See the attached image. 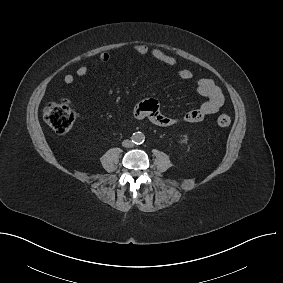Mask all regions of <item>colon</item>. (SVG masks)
<instances>
[{
  "label": "colon",
  "instance_id": "1",
  "mask_svg": "<svg viewBox=\"0 0 283 283\" xmlns=\"http://www.w3.org/2000/svg\"><path fill=\"white\" fill-rule=\"evenodd\" d=\"M43 116L47 124L58 134L69 132L76 118V113L71 107L69 100L60 99L48 103L43 109ZM220 127H228L231 118L227 114H221L217 118Z\"/></svg>",
  "mask_w": 283,
  "mask_h": 283
}]
</instances>
